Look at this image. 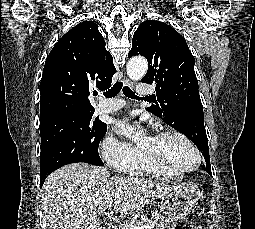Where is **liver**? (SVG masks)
Wrapping results in <instances>:
<instances>
[{"instance_id": "1", "label": "liver", "mask_w": 255, "mask_h": 229, "mask_svg": "<svg viewBox=\"0 0 255 229\" xmlns=\"http://www.w3.org/2000/svg\"><path fill=\"white\" fill-rule=\"evenodd\" d=\"M171 190L143 178L112 176L100 166L66 165L47 177L41 204L50 229H102L98 219L110 203L114 211L134 214ZM119 195V199L114 196Z\"/></svg>"}]
</instances>
